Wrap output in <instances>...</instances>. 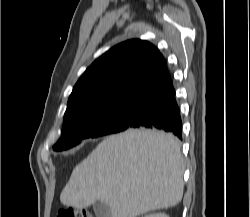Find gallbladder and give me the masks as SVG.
I'll list each match as a JSON object with an SVG mask.
<instances>
[{
  "mask_svg": "<svg viewBox=\"0 0 250 217\" xmlns=\"http://www.w3.org/2000/svg\"><path fill=\"white\" fill-rule=\"evenodd\" d=\"M93 209L96 217H111L109 206L102 202L95 203Z\"/></svg>",
  "mask_w": 250,
  "mask_h": 217,
  "instance_id": "1",
  "label": "gallbladder"
}]
</instances>
